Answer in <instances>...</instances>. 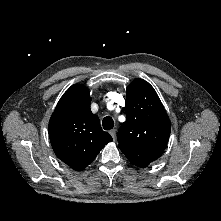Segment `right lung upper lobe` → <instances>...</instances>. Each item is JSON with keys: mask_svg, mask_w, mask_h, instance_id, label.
Wrapping results in <instances>:
<instances>
[{"mask_svg": "<svg viewBox=\"0 0 221 221\" xmlns=\"http://www.w3.org/2000/svg\"><path fill=\"white\" fill-rule=\"evenodd\" d=\"M87 87L72 85L61 97L49 122V138L56 156L74 170H83L113 139L101 129L90 110Z\"/></svg>", "mask_w": 221, "mask_h": 221, "instance_id": "right-lung-upper-lobe-1", "label": "right lung upper lobe"}]
</instances>
